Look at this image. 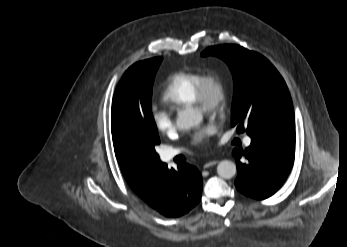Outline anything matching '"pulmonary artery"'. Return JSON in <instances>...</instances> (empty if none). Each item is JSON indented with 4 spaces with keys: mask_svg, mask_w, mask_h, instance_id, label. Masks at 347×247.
Wrapping results in <instances>:
<instances>
[{
    "mask_svg": "<svg viewBox=\"0 0 347 247\" xmlns=\"http://www.w3.org/2000/svg\"><path fill=\"white\" fill-rule=\"evenodd\" d=\"M244 144H245L246 146H249V145L251 144V138L246 137V138L244 139ZM179 152H180V151H179L178 149H168V150H165V151H164V157H165L166 160H171V159H173L176 155H178Z\"/></svg>",
    "mask_w": 347,
    "mask_h": 247,
    "instance_id": "pulmonary-artery-1",
    "label": "pulmonary artery"
}]
</instances>
